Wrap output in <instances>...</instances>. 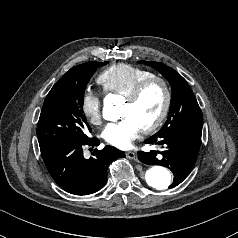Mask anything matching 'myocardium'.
Listing matches in <instances>:
<instances>
[{"label":"myocardium","mask_w":238,"mask_h":238,"mask_svg":"<svg viewBox=\"0 0 238 238\" xmlns=\"http://www.w3.org/2000/svg\"><path fill=\"white\" fill-rule=\"evenodd\" d=\"M159 84L164 92V101L158 116L147 126L141 128L142 132L149 133L156 130L165 120L170 110L172 93L168 82L162 77L152 76L140 82L134 90L126 97V102L136 104L145 91L152 85Z\"/></svg>","instance_id":"obj_1"}]
</instances>
